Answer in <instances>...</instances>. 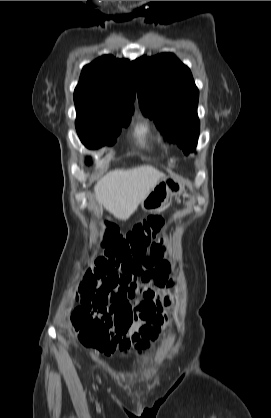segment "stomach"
I'll list each match as a JSON object with an SVG mask.
<instances>
[{"instance_id":"1","label":"stomach","mask_w":271,"mask_h":418,"mask_svg":"<svg viewBox=\"0 0 271 418\" xmlns=\"http://www.w3.org/2000/svg\"><path fill=\"white\" fill-rule=\"evenodd\" d=\"M184 191V185L174 179L164 177L158 181L150 193L142 200L141 208L148 213H154L165 208L168 200Z\"/></svg>"}]
</instances>
